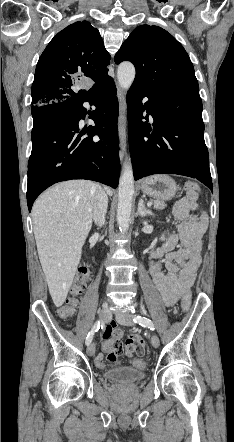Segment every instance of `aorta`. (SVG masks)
<instances>
[{
    "instance_id": "1",
    "label": "aorta",
    "mask_w": 234,
    "mask_h": 442,
    "mask_svg": "<svg viewBox=\"0 0 234 442\" xmlns=\"http://www.w3.org/2000/svg\"><path fill=\"white\" fill-rule=\"evenodd\" d=\"M135 67L130 62H123L118 66L117 79L122 89L127 91L135 78ZM134 194V175L130 161H126L119 180L117 222L119 229L126 232L129 229L132 200Z\"/></svg>"
}]
</instances>
